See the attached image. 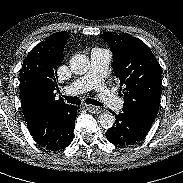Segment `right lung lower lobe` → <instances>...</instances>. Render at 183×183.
<instances>
[{
    "mask_svg": "<svg viewBox=\"0 0 183 183\" xmlns=\"http://www.w3.org/2000/svg\"><path fill=\"white\" fill-rule=\"evenodd\" d=\"M78 108L67 110L41 109L27 119V127L33 139L49 150H62L73 140Z\"/></svg>",
    "mask_w": 183,
    "mask_h": 183,
    "instance_id": "right-lung-lower-lobe-1",
    "label": "right lung lower lobe"
}]
</instances>
